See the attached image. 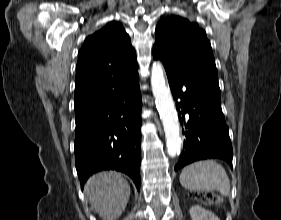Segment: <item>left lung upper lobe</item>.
I'll list each match as a JSON object with an SVG mask.
<instances>
[{
	"label": "left lung upper lobe",
	"mask_w": 281,
	"mask_h": 220,
	"mask_svg": "<svg viewBox=\"0 0 281 220\" xmlns=\"http://www.w3.org/2000/svg\"><path fill=\"white\" fill-rule=\"evenodd\" d=\"M153 57L166 70L191 75L220 91L210 42L197 23L175 15L162 18L155 31Z\"/></svg>",
	"instance_id": "left-lung-upper-lobe-1"
}]
</instances>
